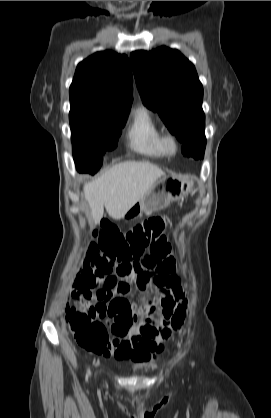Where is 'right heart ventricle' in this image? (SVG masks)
Returning a JSON list of instances; mask_svg holds the SVG:
<instances>
[{"mask_svg":"<svg viewBox=\"0 0 271 418\" xmlns=\"http://www.w3.org/2000/svg\"><path fill=\"white\" fill-rule=\"evenodd\" d=\"M129 147L136 153L149 158L167 155L162 145V132L146 109H139L127 131Z\"/></svg>","mask_w":271,"mask_h":418,"instance_id":"e07e8e85","label":"right heart ventricle"}]
</instances>
